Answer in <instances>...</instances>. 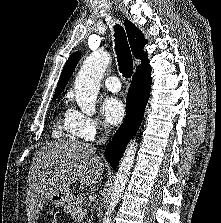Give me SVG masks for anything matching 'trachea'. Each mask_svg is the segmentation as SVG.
Returning a JSON list of instances; mask_svg holds the SVG:
<instances>
[{"mask_svg": "<svg viewBox=\"0 0 221 223\" xmlns=\"http://www.w3.org/2000/svg\"><path fill=\"white\" fill-rule=\"evenodd\" d=\"M115 51L119 71L125 78H130L133 73V59L131 50L127 41L126 33L123 27L116 25L115 27Z\"/></svg>", "mask_w": 221, "mask_h": 223, "instance_id": "trachea-1", "label": "trachea"}]
</instances>
